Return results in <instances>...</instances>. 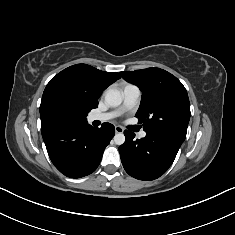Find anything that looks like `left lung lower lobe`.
<instances>
[{"label":"left lung lower lobe","instance_id":"obj_1","mask_svg":"<svg viewBox=\"0 0 235 235\" xmlns=\"http://www.w3.org/2000/svg\"><path fill=\"white\" fill-rule=\"evenodd\" d=\"M125 143L119 147L125 171L139 180H154L163 175L173 163L183 143L179 139L157 133H147L142 139L125 130Z\"/></svg>","mask_w":235,"mask_h":235}]
</instances>
